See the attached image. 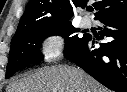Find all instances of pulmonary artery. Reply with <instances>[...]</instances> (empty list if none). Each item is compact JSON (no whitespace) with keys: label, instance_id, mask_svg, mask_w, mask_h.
Segmentation results:
<instances>
[{"label":"pulmonary artery","instance_id":"pulmonary-artery-1","mask_svg":"<svg viewBox=\"0 0 127 92\" xmlns=\"http://www.w3.org/2000/svg\"><path fill=\"white\" fill-rule=\"evenodd\" d=\"M81 25L84 27V28H88L91 26V19L88 17V16H84L82 19H81Z\"/></svg>","mask_w":127,"mask_h":92}]
</instances>
